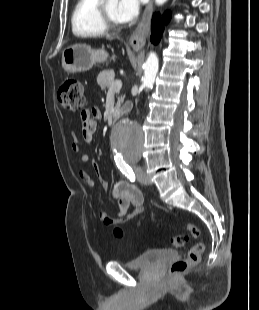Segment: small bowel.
<instances>
[{
	"label": "small bowel",
	"instance_id": "1",
	"mask_svg": "<svg viewBox=\"0 0 259 310\" xmlns=\"http://www.w3.org/2000/svg\"><path fill=\"white\" fill-rule=\"evenodd\" d=\"M101 117V111L97 107L86 109L81 114V134L85 142H92L96 131L97 120ZM71 148L74 152H80L82 143L76 134H72ZM91 156L83 153L79 157V171L80 179L89 187L95 186L94 179L90 176L88 164L91 162ZM94 167L96 168V164ZM111 195L117 199L119 211L116 218L111 217L106 212L99 213V220L104 225H111L116 222H126L134 219L143 212L144 198L142 192L137 186L127 181H118L112 188ZM131 210H129V208Z\"/></svg>",
	"mask_w": 259,
	"mask_h": 310
}]
</instances>
